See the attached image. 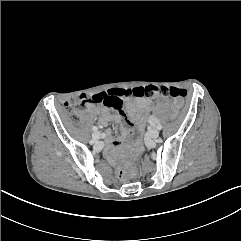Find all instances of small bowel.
Returning a JSON list of instances; mask_svg holds the SVG:
<instances>
[{"instance_id": "obj_1", "label": "small bowel", "mask_w": 241, "mask_h": 241, "mask_svg": "<svg viewBox=\"0 0 241 241\" xmlns=\"http://www.w3.org/2000/svg\"><path fill=\"white\" fill-rule=\"evenodd\" d=\"M131 97H133V96H131ZM123 105H124V99L121 102V110L118 111L115 109L116 111L119 112L118 114H115V115H111L108 112L109 108H111V109H114V108L107 106V105H103V108L100 110H97L94 106H90L88 108V113L90 115L95 113L98 122L102 125H105L110 120H114L115 122L120 123L124 118V115L121 113ZM149 106H150L149 101L144 100V99L134 100V99L130 98L125 102V107L128 111L130 118L132 120L139 121V122L142 121L144 115L146 114V112L149 109ZM129 132L131 134H133L134 129L130 128ZM121 135H122V137H125V135H126L125 129H121ZM128 143H129V141L126 139L115 140V139L109 138L107 140L108 153L110 154L112 150L119 148V147L126 146Z\"/></svg>"}]
</instances>
